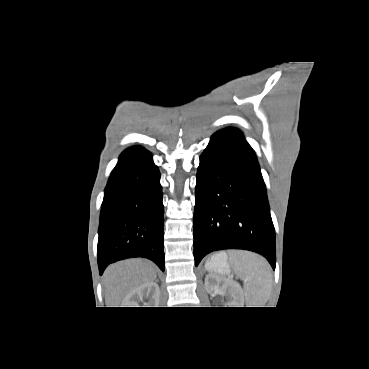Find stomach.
<instances>
[{
	"label": "stomach",
	"mask_w": 369,
	"mask_h": 369,
	"mask_svg": "<svg viewBox=\"0 0 369 369\" xmlns=\"http://www.w3.org/2000/svg\"><path fill=\"white\" fill-rule=\"evenodd\" d=\"M205 267L207 270L218 274L230 273V265L227 260V255L224 252L213 255L209 260H207Z\"/></svg>",
	"instance_id": "0dacf381"
}]
</instances>
